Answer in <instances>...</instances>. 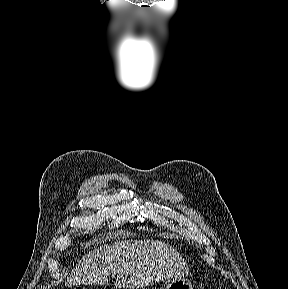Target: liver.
Masks as SVG:
<instances>
[{"label":"liver","mask_w":288,"mask_h":289,"mask_svg":"<svg viewBox=\"0 0 288 289\" xmlns=\"http://www.w3.org/2000/svg\"><path fill=\"white\" fill-rule=\"evenodd\" d=\"M180 254L157 240H125L105 244L86 254L67 277L65 285H107L117 274L116 288L143 289L150 284L187 275Z\"/></svg>","instance_id":"liver-1"}]
</instances>
